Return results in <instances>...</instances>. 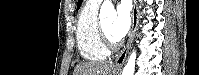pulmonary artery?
Segmentation results:
<instances>
[{
    "instance_id": "e3ab8cb5",
    "label": "pulmonary artery",
    "mask_w": 199,
    "mask_h": 75,
    "mask_svg": "<svg viewBox=\"0 0 199 75\" xmlns=\"http://www.w3.org/2000/svg\"><path fill=\"white\" fill-rule=\"evenodd\" d=\"M102 1L100 0H92V1H88V4L90 6H99V4L101 3Z\"/></svg>"
}]
</instances>
